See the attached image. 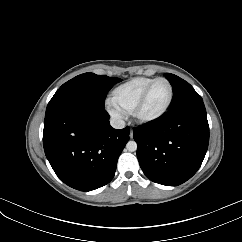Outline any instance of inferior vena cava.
Masks as SVG:
<instances>
[{
    "mask_svg": "<svg viewBox=\"0 0 242 242\" xmlns=\"http://www.w3.org/2000/svg\"><path fill=\"white\" fill-rule=\"evenodd\" d=\"M110 124L115 129H122L125 127V122L120 118H112Z\"/></svg>",
    "mask_w": 242,
    "mask_h": 242,
    "instance_id": "inferior-vena-cava-1",
    "label": "inferior vena cava"
}]
</instances>
